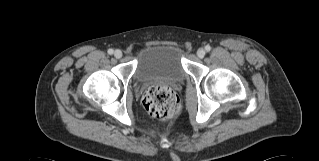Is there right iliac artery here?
I'll use <instances>...</instances> for the list:
<instances>
[{
	"mask_svg": "<svg viewBox=\"0 0 319 161\" xmlns=\"http://www.w3.org/2000/svg\"><path fill=\"white\" fill-rule=\"evenodd\" d=\"M108 54L112 55L113 54V49L108 50Z\"/></svg>",
	"mask_w": 319,
	"mask_h": 161,
	"instance_id": "1",
	"label": "right iliac artery"
}]
</instances>
